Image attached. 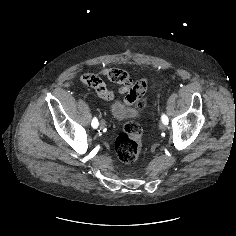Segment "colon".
<instances>
[{"mask_svg":"<svg viewBox=\"0 0 236 236\" xmlns=\"http://www.w3.org/2000/svg\"><path fill=\"white\" fill-rule=\"evenodd\" d=\"M146 87L142 93L134 100L137 105L142 107L145 104V99L143 98ZM142 148V130L138 123L130 121L125 123L123 131L117 136L115 140V151L118 158L125 162H134Z\"/></svg>","mask_w":236,"mask_h":236,"instance_id":"obj_1","label":"colon"}]
</instances>
